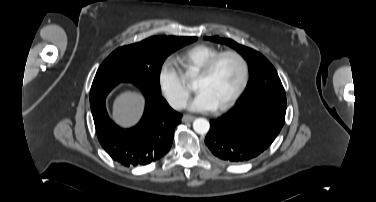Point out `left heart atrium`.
<instances>
[{
  "mask_svg": "<svg viewBox=\"0 0 376 202\" xmlns=\"http://www.w3.org/2000/svg\"><path fill=\"white\" fill-rule=\"evenodd\" d=\"M189 108L194 111H210L216 109V105L204 90H198L193 100L189 102Z\"/></svg>",
  "mask_w": 376,
  "mask_h": 202,
  "instance_id": "1",
  "label": "left heart atrium"
}]
</instances>
